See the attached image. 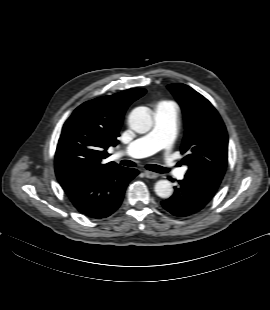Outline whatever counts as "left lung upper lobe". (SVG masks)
Instances as JSON below:
<instances>
[{
  "label": "left lung upper lobe",
  "mask_w": 270,
  "mask_h": 310,
  "mask_svg": "<svg viewBox=\"0 0 270 310\" xmlns=\"http://www.w3.org/2000/svg\"><path fill=\"white\" fill-rule=\"evenodd\" d=\"M179 101L185 118L181 153L187 174L222 180L227 165L228 135L213 105L191 87L167 86Z\"/></svg>",
  "instance_id": "left-lung-upper-lobe-1"
}]
</instances>
